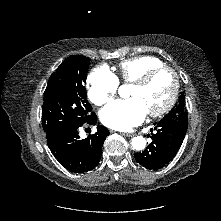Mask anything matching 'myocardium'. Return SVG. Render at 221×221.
I'll list each match as a JSON object with an SVG mask.
<instances>
[{
  "mask_svg": "<svg viewBox=\"0 0 221 221\" xmlns=\"http://www.w3.org/2000/svg\"><path fill=\"white\" fill-rule=\"evenodd\" d=\"M164 71L169 72L172 75L173 88H172L170 97L161 108L148 112V115L153 118L165 115L171 110V108L176 103L178 95H179V90H180V78H179L177 71L173 69L172 67L162 65V66L155 67L153 69L148 70L147 72H145L142 76H140L138 79H136L133 82L134 86L143 87L147 85L156 75Z\"/></svg>",
  "mask_w": 221,
  "mask_h": 221,
  "instance_id": "f54148a6",
  "label": "myocardium"
}]
</instances>
